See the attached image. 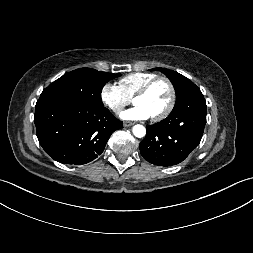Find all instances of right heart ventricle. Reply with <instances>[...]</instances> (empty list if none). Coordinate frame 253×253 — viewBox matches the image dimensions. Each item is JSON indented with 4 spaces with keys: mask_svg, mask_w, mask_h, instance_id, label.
<instances>
[{
    "mask_svg": "<svg viewBox=\"0 0 253 253\" xmlns=\"http://www.w3.org/2000/svg\"><path fill=\"white\" fill-rule=\"evenodd\" d=\"M156 76L157 75L152 73H131L122 77L118 81V85L130 98H132L143 85Z\"/></svg>",
    "mask_w": 253,
    "mask_h": 253,
    "instance_id": "obj_1",
    "label": "right heart ventricle"
}]
</instances>
